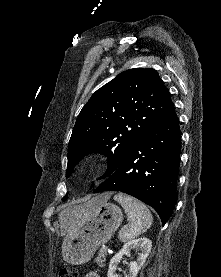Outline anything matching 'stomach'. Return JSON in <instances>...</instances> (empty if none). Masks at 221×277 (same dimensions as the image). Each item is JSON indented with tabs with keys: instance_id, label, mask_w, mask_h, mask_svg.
<instances>
[{
	"instance_id": "0dacf381",
	"label": "stomach",
	"mask_w": 221,
	"mask_h": 277,
	"mask_svg": "<svg viewBox=\"0 0 221 277\" xmlns=\"http://www.w3.org/2000/svg\"><path fill=\"white\" fill-rule=\"evenodd\" d=\"M80 206V212L68 224L61 245L63 260L72 265L88 262L111 239L123 219L118 206L108 201L96 203V197Z\"/></svg>"
}]
</instances>
